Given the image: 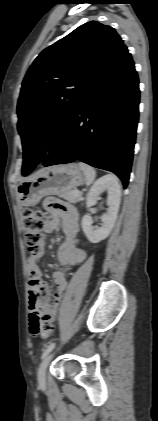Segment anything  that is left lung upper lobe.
Masks as SVG:
<instances>
[{
	"label": "left lung upper lobe",
	"mask_w": 158,
	"mask_h": 421,
	"mask_svg": "<svg viewBox=\"0 0 158 421\" xmlns=\"http://www.w3.org/2000/svg\"><path fill=\"white\" fill-rule=\"evenodd\" d=\"M123 45L114 28L90 21L35 59L17 106L23 175L41 161L39 147L46 143L50 149L85 92Z\"/></svg>",
	"instance_id": "1"
}]
</instances>
